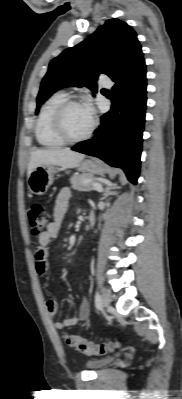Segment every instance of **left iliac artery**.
<instances>
[{
    "mask_svg": "<svg viewBox=\"0 0 182 399\" xmlns=\"http://www.w3.org/2000/svg\"><path fill=\"white\" fill-rule=\"evenodd\" d=\"M95 307L97 310L102 308V298L98 291L95 293Z\"/></svg>",
    "mask_w": 182,
    "mask_h": 399,
    "instance_id": "left-iliac-artery-1",
    "label": "left iliac artery"
}]
</instances>
